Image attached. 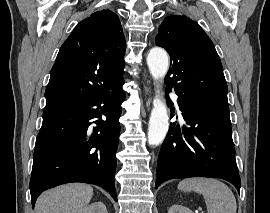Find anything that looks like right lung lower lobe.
I'll list each match as a JSON object with an SVG mask.
<instances>
[{
    "instance_id": "1",
    "label": "right lung lower lobe",
    "mask_w": 270,
    "mask_h": 213,
    "mask_svg": "<svg viewBox=\"0 0 270 213\" xmlns=\"http://www.w3.org/2000/svg\"><path fill=\"white\" fill-rule=\"evenodd\" d=\"M123 84L88 99L44 108L30 179L33 208L44 190L70 182L101 186L117 201L115 154L125 99ZM102 113L106 121H91ZM92 123L98 126L92 127Z\"/></svg>"
}]
</instances>
